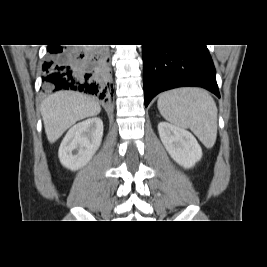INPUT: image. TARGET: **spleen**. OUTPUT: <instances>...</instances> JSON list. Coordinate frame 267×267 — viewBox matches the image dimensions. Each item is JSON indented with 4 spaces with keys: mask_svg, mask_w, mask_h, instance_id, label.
Returning <instances> with one entry per match:
<instances>
[{
    "mask_svg": "<svg viewBox=\"0 0 267 267\" xmlns=\"http://www.w3.org/2000/svg\"><path fill=\"white\" fill-rule=\"evenodd\" d=\"M161 115L180 128H189L211 148L217 137V107L209 93L199 88H180L162 93L157 101Z\"/></svg>",
    "mask_w": 267,
    "mask_h": 267,
    "instance_id": "1",
    "label": "spleen"
}]
</instances>
